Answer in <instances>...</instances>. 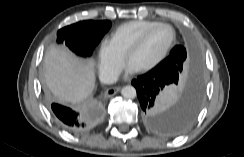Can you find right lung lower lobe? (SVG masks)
I'll use <instances>...</instances> for the list:
<instances>
[{
  "label": "right lung lower lobe",
  "mask_w": 244,
  "mask_h": 157,
  "mask_svg": "<svg viewBox=\"0 0 244 157\" xmlns=\"http://www.w3.org/2000/svg\"><path fill=\"white\" fill-rule=\"evenodd\" d=\"M51 109L60 125L72 133H83L90 127L88 123L89 116L83 112L55 103L51 105Z\"/></svg>",
  "instance_id": "right-lung-lower-lobe-1"
}]
</instances>
